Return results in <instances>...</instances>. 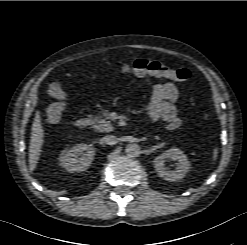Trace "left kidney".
Here are the masks:
<instances>
[{"instance_id":"1","label":"left kidney","mask_w":247,"mask_h":245,"mask_svg":"<svg viewBox=\"0 0 247 245\" xmlns=\"http://www.w3.org/2000/svg\"><path fill=\"white\" fill-rule=\"evenodd\" d=\"M171 159L177 161L175 170H169L165 166V161ZM154 167L158 175L164 180L174 182L183 179L190 169V162L187 156L178 148L166 150L154 159Z\"/></svg>"}]
</instances>
